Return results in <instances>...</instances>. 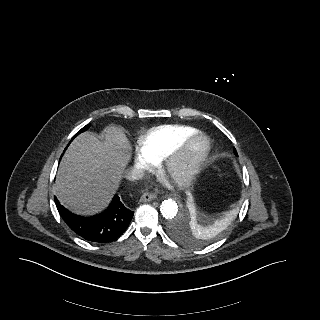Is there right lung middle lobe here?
Wrapping results in <instances>:
<instances>
[{"mask_svg": "<svg viewBox=\"0 0 320 320\" xmlns=\"http://www.w3.org/2000/svg\"><path fill=\"white\" fill-rule=\"evenodd\" d=\"M90 124L86 125L85 127H83L78 133H76L74 135V137L72 138V140L79 134V133H82L84 132L85 130H87L89 128Z\"/></svg>", "mask_w": 320, "mask_h": 320, "instance_id": "right-lung-middle-lobe-1", "label": "right lung middle lobe"}]
</instances>
